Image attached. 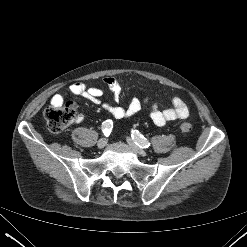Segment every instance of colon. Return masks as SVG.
Here are the masks:
<instances>
[{"instance_id":"colon-1","label":"colon","mask_w":247,"mask_h":247,"mask_svg":"<svg viewBox=\"0 0 247 247\" xmlns=\"http://www.w3.org/2000/svg\"><path fill=\"white\" fill-rule=\"evenodd\" d=\"M44 118L47 129L53 134H59L74 121L75 108L70 103L51 104L45 109ZM180 130L188 133L192 130V124L184 121L180 124Z\"/></svg>"}]
</instances>
